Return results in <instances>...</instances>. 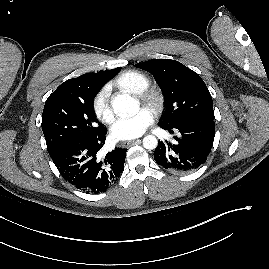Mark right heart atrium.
I'll list each match as a JSON object with an SVG mask.
<instances>
[{"label":"right heart atrium","instance_id":"right-heart-atrium-1","mask_svg":"<svg viewBox=\"0 0 269 269\" xmlns=\"http://www.w3.org/2000/svg\"><path fill=\"white\" fill-rule=\"evenodd\" d=\"M93 110L96 116L105 123H111L114 119L113 109L109 102V88L102 87L94 96Z\"/></svg>","mask_w":269,"mask_h":269}]
</instances>
